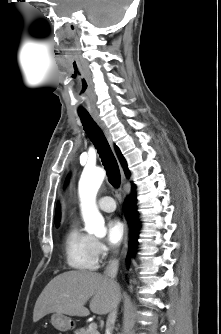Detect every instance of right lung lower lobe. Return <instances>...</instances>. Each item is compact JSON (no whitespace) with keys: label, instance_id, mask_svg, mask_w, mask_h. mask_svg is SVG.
<instances>
[{"label":"right lung lower lobe","instance_id":"98d812e1","mask_svg":"<svg viewBox=\"0 0 221 334\" xmlns=\"http://www.w3.org/2000/svg\"><path fill=\"white\" fill-rule=\"evenodd\" d=\"M134 190V188H133ZM125 212L126 216L129 221L130 226V243H129V253H128V260L130 259L131 255L135 251L136 246V240H137V231L139 228V223L136 218V210H135V204H134V197H131L130 199H127L125 203Z\"/></svg>","mask_w":221,"mask_h":334}]
</instances>
